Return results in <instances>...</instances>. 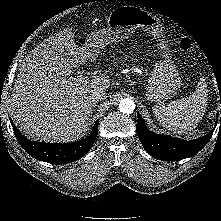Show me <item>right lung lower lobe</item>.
<instances>
[{
	"instance_id": "1",
	"label": "right lung lower lobe",
	"mask_w": 221,
	"mask_h": 221,
	"mask_svg": "<svg viewBox=\"0 0 221 221\" xmlns=\"http://www.w3.org/2000/svg\"><path fill=\"white\" fill-rule=\"evenodd\" d=\"M98 122L96 121L92 132L87 138L73 143L56 144L28 140L20 133L11 120L14 134L23 149L37 160L51 164H66L84 156L95 142L98 133Z\"/></svg>"
}]
</instances>
